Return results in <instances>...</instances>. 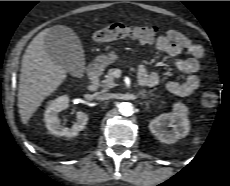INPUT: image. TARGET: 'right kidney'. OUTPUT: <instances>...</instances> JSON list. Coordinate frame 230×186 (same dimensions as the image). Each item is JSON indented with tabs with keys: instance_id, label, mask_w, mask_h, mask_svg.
I'll return each mask as SVG.
<instances>
[{
	"instance_id": "1",
	"label": "right kidney",
	"mask_w": 230,
	"mask_h": 186,
	"mask_svg": "<svg viewBox=\"0 0 230 186\" xmlns=\"http://www.w3.org/2000/svg\"><path fill=\"white\" fill-rule=\"evenodd\" d=\"M69 106V98L67 96H60L53 100L47 107L44 113V121L48 131L56 136L75 137L78 132L85 128L88 121V115L83 112H77L76 122L71 128L64 127L58 115L61 111L67 109Z\"/></svg>"
}]
</instances>
